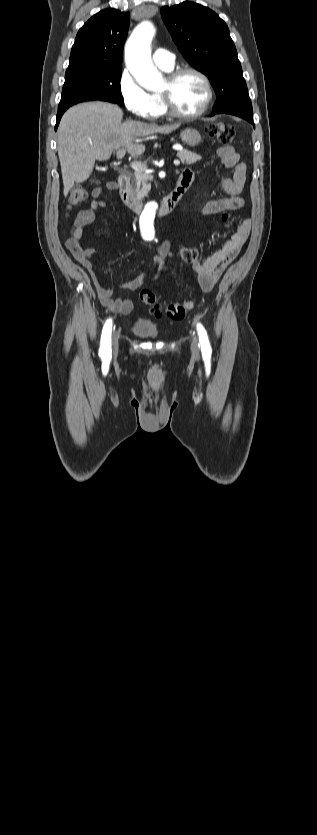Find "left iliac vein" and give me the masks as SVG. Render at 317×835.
Here are the masks:
<instances>
[{
    "label": "left iliac vein",
    "mask_w": 317,
    "mask_h": 835,
    "mask_svg": "<svg viewBox=\"0 0 317 835\" xmlns=\"http://www.w3.org/2000/svg\"><path fill=\"white\" fill-rule=\"evenodd\" d=\"M191 351H192V353L195 357L199 356V345H198V340H197L196 337H194L193 340H192Z\"/></svg>",
    "instance_id": "1"
}]
</instances>
